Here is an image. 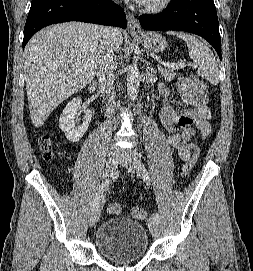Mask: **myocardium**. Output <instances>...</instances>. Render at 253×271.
Instances as JSON below:
<instances>
[{"mask_svg":"<svg viewBox=\"0 0 253 271\" xmlns=\"http://www.w3.org/2000/svg\"><path fill=\"white\" fill-rule=\"evenodd\" d=\"M172 0H150L140 5L143 12L146 13H159L165 10Z\"/></svg>","mask_w":253,"mask_h":271,"instance_id":"f54148a6","label":"myocardium"}]
</instances>
